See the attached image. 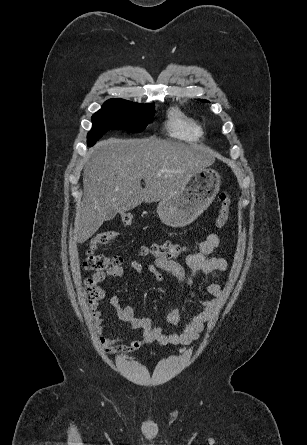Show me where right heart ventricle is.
<instances>
[{
  "label": "right heart ventricle",
  "instance_id": "right-heart-ventricle-1",
  "mask_svg": "<svg viewBox=\"0 0 307 445\" xmlns=\"http://www.w3.org/2000/svg\"><path fill=\"white\" fill-rule=\"evenodd\" d=\"M169 132L174 137L190 139L200 136L202 129L193 119L173 110L170 113Z\"/></svg>",
  "mask_w": 307,
  "mask_h": 445
}]
</instances>
